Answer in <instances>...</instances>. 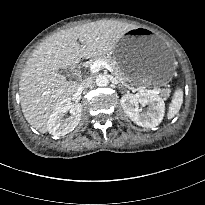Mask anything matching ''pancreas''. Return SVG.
Masks as SVG:
<instances>
[{
    "mask_svg": "<svg viewBox=\"0 0 205 205\" xmlns=\"http://www.w3.org/2000/svg\"><path fill=\"white\" fill-rule=\"evenodd\" d=\"M92 60H94V61H96V60H104V61H106L111 66L113 72L117 74V77L119 79H121L122 81L126 80L125 76L120 71V69H119V67L117 65V62L112 57L107 56L105 54H101V55H97V56L93 57Z\"/></svg>",
    "mask_w": 205,
    "mask_h": 205,
    "instance_id": "1",
    "label": "pancreas"
}]
</instances>
